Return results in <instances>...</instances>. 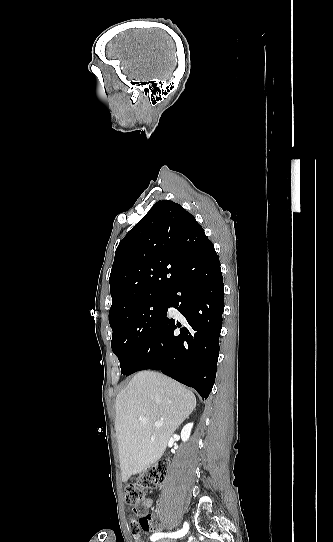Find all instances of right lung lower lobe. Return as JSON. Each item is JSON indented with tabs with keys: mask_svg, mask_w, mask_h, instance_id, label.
Segmentation results:
<instances>
[{
	"mask_svg": "<svg viewBox=\"0 0 333 542\" xmlns=\"http://www.w3.org/2000/svg\"><path fill=\"white\" fill-rule=\"evenodd\" d=\"M176 259L182 278L167 295L168 308L183 317L166 314L126 376L160 370L206 399L215 382L224 310L220 261L211 242L183 250Z\"/></svg>",
	"mask_w": 333,
	"mask_h": 542,
	"instance_id": "obj_1",
	"label": "right lung lower lobe"
}]
</instances>
